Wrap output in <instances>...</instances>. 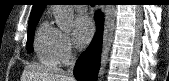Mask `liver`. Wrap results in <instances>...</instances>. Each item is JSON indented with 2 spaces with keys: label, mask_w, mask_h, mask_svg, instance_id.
I'll return each mask as SVG.
<instances>
[{
  "label": "liver",
  "mask_w": 169,
  "mask_h": 81,
  "mask_svg": "<svg viewBox=\"0 0 169 81\" xmlns=\"http://www.w3.org/2000/svg\"><path fill=\"white\" fill-rule=\"evenodd\" d=\"M22 81H73L62 69H43L29 65L25 68Z\"/></svg>",
  "instance_id": "1"
}]
</instances>
